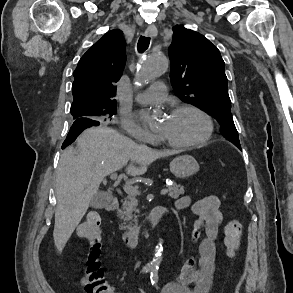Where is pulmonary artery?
<instances>
[{
  "label": "pulmonary artery",
  "instance_id": "pulmonary-artery-1",
  "mask_svg": "<svg viewBox=\"0 0 293 293\" xmlns=\"http://www.w3.org/2000/svg\"><path fill=\"white\" fill-rule=\"evenodd\" d=\"M167 96L166 86L163 82L153 83L149 89L138 94L136 100L146 104H156L163 101Z\"/></svg>",
  "mask_w": 293,
  "mask_h": 293
}]
</instances>
